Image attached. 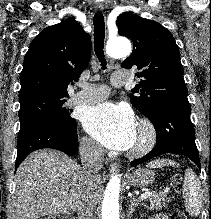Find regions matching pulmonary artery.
Listing matches in <instances>:
<instances>
[{
    "mask_svg": "<svg viewBox=\"0 0 211 219\" xmlns=\"http://www.w3.org/2000/svg\"><path fill=\"white\" fill-rule=\"evenodd\" d=\"M127 81V73L116 71L113 73L111 82L115 86H121ZM109 88L103 84H86L83 89L70 98L73 104L88 105L105 99L109 94Z\"/></svg>",
    "mask_w": 211,
    "mask_h": 219,
    "instance_id": "pulmonary-artery-1",
    "label": "pulmonary artery"
}]
</instances>
